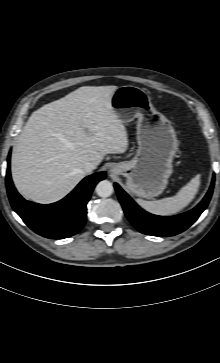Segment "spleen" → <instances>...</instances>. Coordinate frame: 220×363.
Returning <instances> with one entry per match:
<instances>
[{
	"label": "spleen",
	"mask_w": 220,
	"mask_h": 363,
	"mask_svg": "<svg viewBox=\"0 0 220 363\" xmlns=\"http://www.w3.org/2000/svg\"><path fill=\"white\" fill-rule=\"evenodd\" d=\"M200 185V175L192 178L178 193L173 197H168L155 201L137 199V203L146 211L160 215H175L184 209L195 198Z\"/></svg>",
	"instance_id": "1"
}]
</instances>
